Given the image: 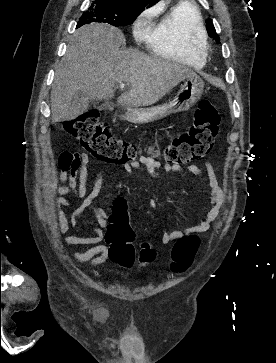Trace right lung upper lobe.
<instances>
[{
    "instance_id": "cb5924a9",
    "label": "right lung upper lobe",
    "mask_w": 276,
    "mask_h": 363,
    "mask_svg": "<svg viewBox=\"0 0 276 363\" xmlns=\"http://www.w3.org/2000/svg\"><path fill=\"white\" fill-rule=\"evenodd\" d=\"M101 1H111L123 4H144L147 6H151L156 3L158 0H101Z\"/></svg>"
}]
</instances>
